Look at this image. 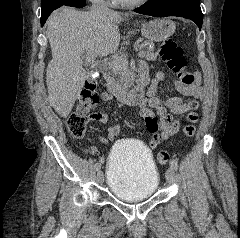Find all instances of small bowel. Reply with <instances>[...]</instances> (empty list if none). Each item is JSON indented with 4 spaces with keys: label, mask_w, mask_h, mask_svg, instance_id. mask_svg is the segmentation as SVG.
<instances>
[{
    "label": "small bowel",
    "mask_w": 240,
    "mask_h": 238,
    "mask_svg": "<svg viewBox=\"0 0 240 238\" xmlns=\"http://www.w3.org/2000/svg\"><path fill=\"white\" fill-rule=\"evenodd\" d=\"M141 72L147 74L146 66H141ZM163 78V73L159 72L156 74L147 90L146 96L139 103L140 116L143 118L148 132L152 134L149 142V146L152 149L157 148L162 141L170 138L179 131L180 122L174 119V115H185L187 122L195 123L198 120L195 110L198 108L199 99L203 94L200 87V80L197 76L196 82L192 86H184L180 81H175L174 86L180 93V96L170 97L162 102L156 97V90L158 83ZM101 100L111 102L113 101V97L108 93H102ZM90 118L99 123L108 124L109 122L107 114L103 112H93L90 114ZM119 131V125H109L107 142L115 143V137ZM102 142L106 143V139H102ZM98 161L104 162L105 158L103 156L99 157Z\"/></svg>",
    "instance_id": "1"
}]
</instances>
